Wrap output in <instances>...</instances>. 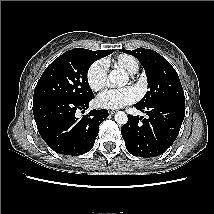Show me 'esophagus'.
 Returning a JSON list of instances; mask_svg holds the SVG:
<instances>
[{
  "label": "esophagus",
  "instance_id": "obj_1",
  "mask_svg": "<svg viewBox=\"0 0 214 214\" xmlns=\"http://www.w3.org/2000/svg\"><path fill=\"white\" fill-rule=\"evenodd\" d=\"M109 113H110L111 115H113V114L115 113V111H114V110H111V111H109Z\"/></svg>",
  "mask_w": 214,
  "mask_h": 214
}]
</instances>
